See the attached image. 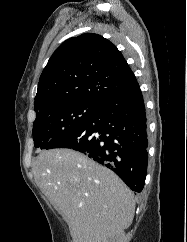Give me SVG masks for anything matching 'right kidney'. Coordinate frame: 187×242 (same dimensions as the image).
Instances as JSON below:
<instances>
[{"mask_svg": "<svg viewBox=\"0 0 187 242\" xmlns=\"http://www.w3.org/2000/svg\"><path fill=\"white\" fill-rule=\"evenodd\" d=\"M105 242H125V233L123 231H121L118 234L111 236Z\"/></svg>", "mask_w": 187, "mask_h": 242, "instance_id": "1", "label": "right kidney"}]
</instances>
